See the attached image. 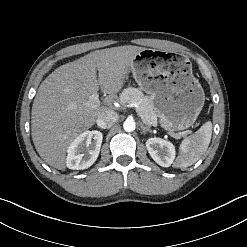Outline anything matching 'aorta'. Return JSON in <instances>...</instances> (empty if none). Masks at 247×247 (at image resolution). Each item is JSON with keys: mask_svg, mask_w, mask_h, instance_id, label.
Segmentation results:
<instances>
[{"mask_svg": "<svg viewBox=\"0 0 247 247\" xmlns=\"http://www.w3.org/2000/svg\"><path fill=\"white\" fill-rule=\"evenodd\" d=\"M123 128L126 132H133L136 128V124L133 120L128 119L123 123Z\"/></svg>", "mask_w": 247, "mask_h": 247, "instance_id": "762f6f07", "label": "aorta"}]
</instances>
